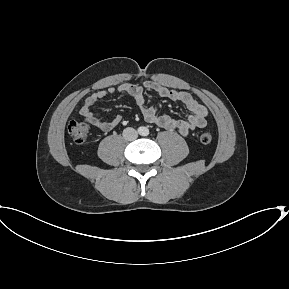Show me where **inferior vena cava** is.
Here are the masks:
<instances>
[{"label":"inferior vena cava","mask_w":289,"mask_h":289,"mask_svg":"<svg viewBox=\"0 0 289 289\" xmlns=\"http://www.w3.org/2000/svg\"><path fill=\"white\" fill-rule=\"evenodd\" d=\"M123 137L128 141H133L138 137V133L134 128L128 127L123 130Z\"/></svg>","instance_id":"inferior-vena-cava-1"}]
</instances>
